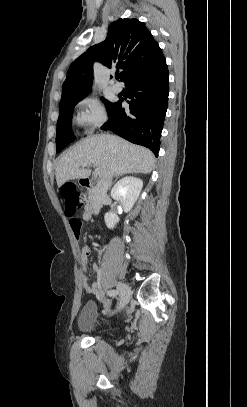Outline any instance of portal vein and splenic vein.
Instances as JSON below:
<instances>
[{"instance_id": "portal-vein-and-splenic-vein-1", "label": "portal vein and splenic vein", "mask_w": 247, "mask_h": 407, "mask_svg": "<svg viewBox=\"0 0 247 407\" xmlns=\"http://www.w3.org/2000/svg\"><path fill=\"white\" fill-rule=\"evenodd\" d=\"M81 166H82V167H85L86 164H85V163H82ZM94 174H95L96 176L99 175V174H100V170L96 168Z\"/></svg>"}]
</instances>
